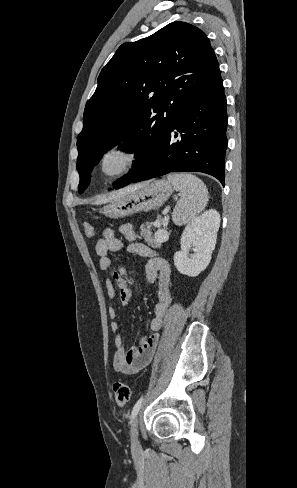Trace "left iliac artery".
Returning a JSON list of instances; mask_svg holds the SVG:
<instances>
[{"mask_svg":"<svg viewBox=\"0 0 297 488\" xmlns=\"http://www.w3.org/2000/svg\"><path fill=\"white\" fill-rule=\"evenodd\" d=\"M142 402H143V396L135 403V405L132 409V413H131V420L137 416V414H138V412L142 406Z\"/></svg>","mask_w":297,"mask_h":488,"instance_id":"left-iliac-artery-1","label":"left iliac artery"}]
</instances>
